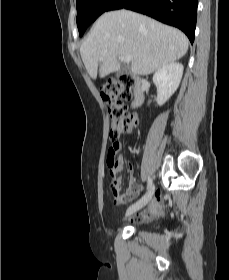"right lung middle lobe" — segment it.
<instances>
[{
	"mask_svg": "<svg viewBox=\"0 0 229 280\" xmlns=\"http://www.w3.org/2000/svg\"><path fill=\"white\" fill-rule=\"evenodd\" d=\"M116 0H77V26L82 36L86 28L102 13L109 11Z\"/></svg>",
	"mask_w": 229,
	"mask_h": 280,
	"instance_id": "dd1d6c3e",
	"label": "right lung middle lobe"
}]
</instances>
